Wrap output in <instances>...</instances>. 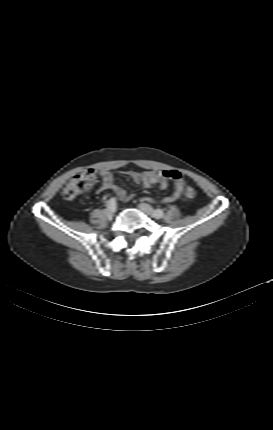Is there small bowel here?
Segmentation results:
<instances>
[{"mask_svg":"<svg viewBox=\"0 0 273 430\" xmlns=\"http://www.w3.org/2000/svg\"><path fill=\"white\" fill-rule=\"evenodd\" d=\"M127 175L137 184H140L144 188L158 187L160 189H166L169 185V181H173V192L171 195L161 198L159 201L163 203L173 202L180 198L182 195L185 182L176 171L164 170V171H144L135 172L127 171ZM99 174L101 176V185L98 189L99 192L110 190L112 191L118 199L129 200L132 195L126 193V191L117 186L114 183V177L109 170H100Z\"/></svg>","mask_w":273,"mask_h":430,"instance_id":"obj_1","label":"small bowel"}]
</instances>
